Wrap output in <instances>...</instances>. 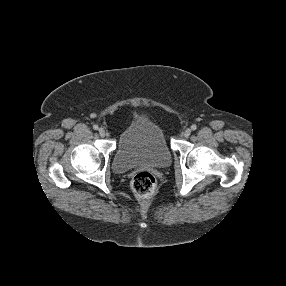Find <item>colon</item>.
<instances>
[{
	"instance_id": "colon-1",
	"label": "colon",
	"mask_w": 286,
	"mask_h": 286,
	"mask_svg": "<svg viewBox=\"0 0 286 286\" xmlns=\"http://www.w3.org/2000/svg\"><path fill=\"white\" fill-rule=\"evenodd\" d=\"M132 189L137 196L148 198L155 192L156 179L150 172H140L132 180Z\"/></svg>"
}]
</instances>
